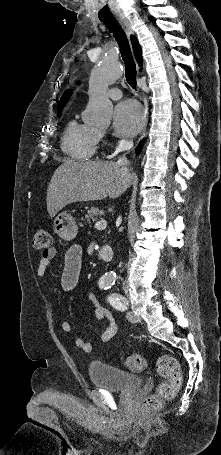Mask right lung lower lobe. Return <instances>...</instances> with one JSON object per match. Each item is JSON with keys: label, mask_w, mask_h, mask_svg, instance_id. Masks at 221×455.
<instances>
[{"label": "right lung lower lobe", "mask_w": 221, "mask_h": 455, "mask_svg": "<svg viewBox=\"0 0 221 455\" xmlns=\"http://www.w3.org/2000/svg\"><path fill=\"white\" fill-rule=\"evenodd\" d=\"M141 148H142V144H140V145L137 147V149H136L137 154L141 151Z\"/></svg>", "instance_id": "1"}]
</instances>
